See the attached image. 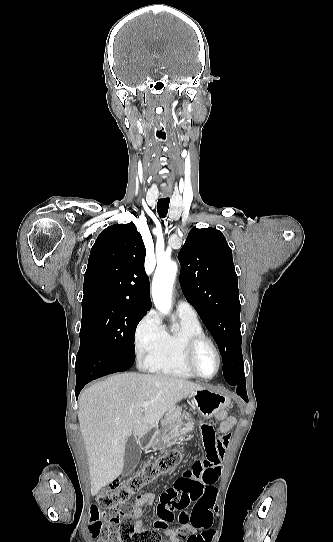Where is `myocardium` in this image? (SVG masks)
I'll return each mask as SVG.
<instances>
[{
  "instance_id": "1",
  "label": "myocardium",
  "mask_w": 333,
  "mask_h": 542,
  "mask_svg": "<svg viewBox=\"0 0 333 542\" xmlns=\"http://www.w3.org/2000/svg\"><path fill=\"white\" fill-rule=\"evenodd\" d=\"M202 344H208L211 347V349L213 350L214 354H215L217 366H216V371L211 376H203V375H201L197 371V369L195 368V365H194L195 354H196L198 348ZM183 362H184V365H185L186 369L193 376H195L197 378H201V379L210 380V379H213L220 371V368H221V355H220V352H219L216 344L214 343V341L212 339L208 338L205 335H200V336L192 337V338H190V339H188L186 341V343L184 345V349H183Z\"/></svg>"
}]
</instances>
